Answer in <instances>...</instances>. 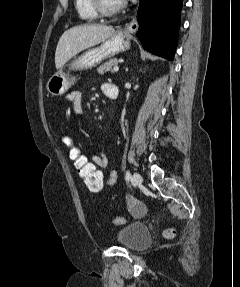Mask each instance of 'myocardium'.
I'll list each match as a JSON object with an SVG mask.
<instances>
[{
    "label": "myocardium",
    "mask_w": 240,
    "mask_h": 287,
    "mask_svg": "<svg viewBox=\"0 0 240 287\" xmlns=\"http://www.w3.org/2000/svg\"><path fill=\"white\" fill-rule=\"evenodd\" d=\"M92 3L96 12L102 16H113L119 13L125 6L123 1L111 8L105 5L104 0H92Z\"/></svg>",
    "instance_id": "1"
}]
</instances>
